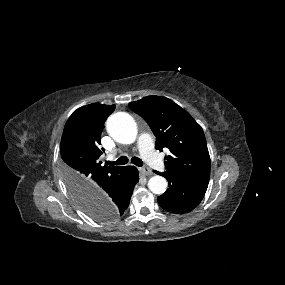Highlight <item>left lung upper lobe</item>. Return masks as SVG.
Instances as JSON below:
<instances>
[{
    "label": "left lung upper lobe",
    "mask_w": 285,
    "mask_h": 285,
    "mask_svg": "<svg viewBox=\"0 0 285 285\" xmlns=\"http://www.w3.org/2000/svg\"><path fill=\"white\" fill-rule=\"evenodd\" d=\"M129 107L149 124L156 148L170 150L165 173L208 185L211 162L204 132L185 110L161 96H147Z\"/></svg>",
    "instance_id": "5c2ea615"
}]
</instances>
